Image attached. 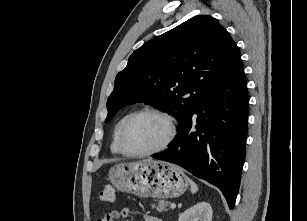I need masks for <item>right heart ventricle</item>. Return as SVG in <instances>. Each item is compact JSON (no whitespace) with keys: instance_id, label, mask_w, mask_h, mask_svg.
I'll return each mask as SVG.
<instances>
[{"instance_id":"1","label":"right heart ventricle","mask_w":307,"mask_h":221,"mask_svg":"<svg viewBox=\"0 0 307 221\" xmlns=\"http://www.w3.org/2000/svg\"><path fill=\"white\" fill-rule=\"evenodd\" d=\"M130 115V113H126L124 114L115 124L114 130H113V136H112V142L110 145V149L111 152L114 154H120V150L118 148V135H119V131L123 125V123L125 122V120L128 118V116Z\"/></svg>"}]
</instances>
